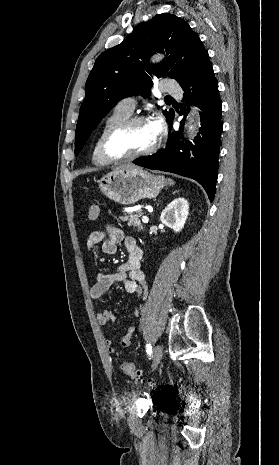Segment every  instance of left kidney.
<instances>
[{"mask_svg": "<svg viewBox=\"0 0 279 465\" xmlns=\"http://www.w3.org/2000/svg\"><path fill=\"white\" fill-rule=\"evenodd\" d=\"M189 214V203L184 198L174 199L161 213L160 220L167 227L180 232Z\"/></svg>", "mask_w": 279, "mask_h": 465, "instance_id": "5707ae66", "label": "left kidney"}]
</instances>
